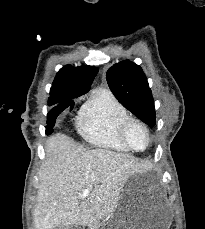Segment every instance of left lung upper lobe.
<instances>
[{
    "label": "left lung upper lobe",
    "instance_id": "5c2ea615",
    "mask_svg": "<svg viewBox=\"0 0 205 229\" xmlns=\"http://www.w3.org/2000/svg\"><path fill=\"white\" fill-rule=\"evenodd\" d=\"M108 85L119 102L150 127L155 125V107L147 78L131 61L113 65L106 74Z\"/></svg>",
    "mask_w": 205,
    "mask_h": 229
}]
</instances>
